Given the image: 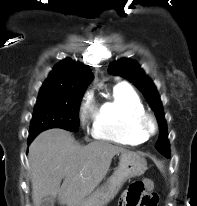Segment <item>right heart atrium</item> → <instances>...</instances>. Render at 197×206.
<instances>
[{
    "mask_svg": "<svg viewBox=\"0 0 197 206\" xmlns=\"http://www.w3.org/2000/svg\"><path fill=\"white\" fill-rule=\"evenodd\" d=\"M94 114H95L94 106L90 98H88L80 106L79 116L82 124L86 125L88 121L94 117Z\"/></svg>",
    "mask_w": 197,
    "mask_h": 206,
    "instance_id": "right-heart-atrium-1",
    "label": "right heart atrium"
}]
</instances>
